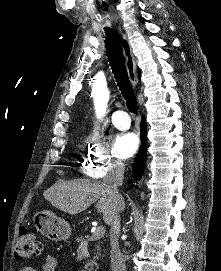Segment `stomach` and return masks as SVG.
Masks as SVG:
<instances>
[{
  "instance_id": "stomach-1",
  "label": "stomach",
  "mask_w": 221,
  "mask_h": 271,
  "mask_svg": "<svg viewBox=\"0 0 221 271\" xmlns=\"http://www.w3.org/2000/svg\"><path fill=\"white\" fill-rule=\"evenodd\" d=\"M33 223L42 235L49 237V239H55V241H60V239H65V237L71 235L69 223L60 219L51 211H37L33 215Z\"/></svg>"
}]
</instances>
